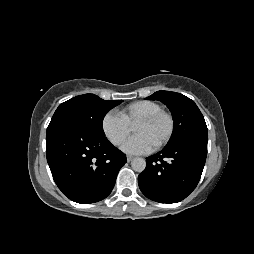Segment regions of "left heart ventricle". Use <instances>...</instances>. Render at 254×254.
I'll return each mask as SVG.
<instances>
[{"label": "left heart ventricle", "instance_id": "1", "mask_svg": "<svg viewBox=\"0 0 254 254\" xmlns=\"http://www.w3.org/2000/svg\"><path fill=\"white\" fill-rule=\"evenodd\" d=\"M168 128V120L161 117L150 124H137L134 127V132L145 135L156 146L166 136Z\"/></svg>", "mask_w": 254, "mask_h": 254}]
</instances>
